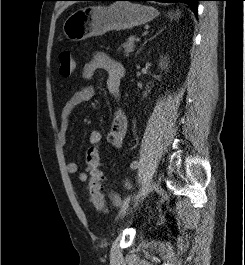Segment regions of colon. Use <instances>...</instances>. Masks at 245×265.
<instances>
[{
	"label": "colon",
	"mask_w": 245,
	"mask_h": 265,
	"mask_svg": "<svg viewBox=\"0 0 245 265\" xmlns=\"http://www.w3.org/2000/svg\"><path fill=\"white\" fill-rule=\"evenodd\" d=\"M76 69V62L69 51L59 54V72L63 77H70ZM99 150L91 146L86 152L85 166L89 174L88 190L92 203L98 211H105L104 197L101 192L103 175L99 169Z\"/></svg>",
	"instance_id": "colon-1"
}]
</instances>
